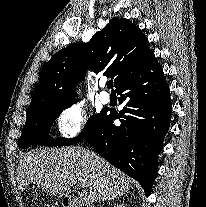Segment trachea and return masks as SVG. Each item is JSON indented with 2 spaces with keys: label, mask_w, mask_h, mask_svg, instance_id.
I'll use <instances>...</instances> for the list:
<instances>
[{
  "label": "trachea",
  "mask_w": 206,
  "mask_h": 207,
  "mask_svg": "<svg viewBox=\"0 0 206 207\" xmlns=\"http://www.w3.org/2000/svg\"><path fill=\"white\" fill-rule=\"evenodd\" d=\"M107 87L113 90V81L112 80L107 82Z\"/></svg>",
  "instance_id": "3493384b"
}]
</instances>
